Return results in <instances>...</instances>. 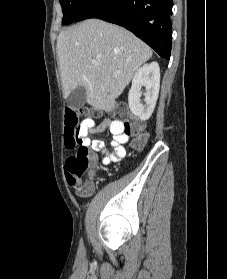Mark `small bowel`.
I'll use <instances>...</instances> for the list:
<instances>
[{
	"label": "small bowel",
	"instance_id": "small-bowel-1",
	"mask_svg": "<svg viewBox=\"0 0 227 279\" xmlns=\"http://www.w3.org/2000/svg\"><path fill=\"white\" fill-rule=\"evenodd\" d=\"M106 129H109V132L112 136V150H109L101 139H91L88 143V146L92 151L101 153V163L103 165L117 162L123 158L126 154L124 145L129 139V135L122 129L120 123L109 117H102L98 122L94 120H88L87 131L89 133L101 134Z\"/></svg>",
	"mask_w": 227,
	"mask_h": 279
}]
</instances>
